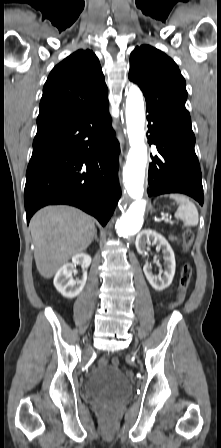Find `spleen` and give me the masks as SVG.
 <instances>
[{
	"mask_svg": "<svg viewBox=\"0 0 221 448\" xmlns=\"http://www.w3.org/2000/svg\"><path fill=\"white\" fill-rule=\"evenodd\" d=\"M169 197L177 202L178 208L175 217L183 221L184 227L196 226L199 221V214L195 204L181 194H170Z\"/></svg>",
	"mask_w": 221,
	"mask_h": 448,
	"instance_id": "1",
	"label": "spleen"
}]
</instances>
